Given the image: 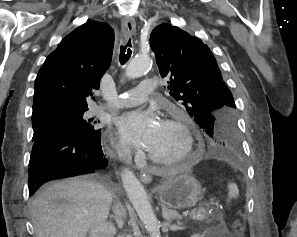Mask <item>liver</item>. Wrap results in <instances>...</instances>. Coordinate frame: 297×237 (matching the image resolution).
I'll list each match as a JSON object with an SVG mask.
<instances>
[{"label":"liver","mask_w":297,"mask_h":237,"mask_svg":"<svg viewBox=\"0 0 297 237\" xmlns=\"http://www.w3.org/2000/svg\"><path fill=\"white\" fill-rule=\"evenodd\" d=\"M113 193L89 177L51 182L30 201L36 237H86L108 218Z\"/></svg>","instance_id":"1"}]
</instances>
